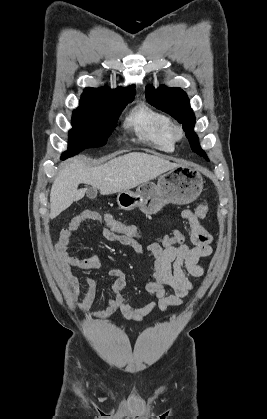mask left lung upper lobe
<instances>
[{
  "instance_id": "5c2ea615",
  "label": "left lung upper lobe",
  "mask_w": 267,
  "mask_h": 419,
  "mask_svg": "<svg viewBox=\"0 0 267 419\" xmlns=\"http://www.w3.org/2000/svg\"><path fill=\"white\" fill-rule=\"evenodd\" d=\"M145 97L151 105L170 114L178 120L186 132L191 149L198 155L207 159L205 152L199 145L198 136L193 130L195 126V116L189 106V99L186 93L178 87L168 88L161 86L155 89L153 86H148L146 87Z\"/></svg>"
}]
</instances>
